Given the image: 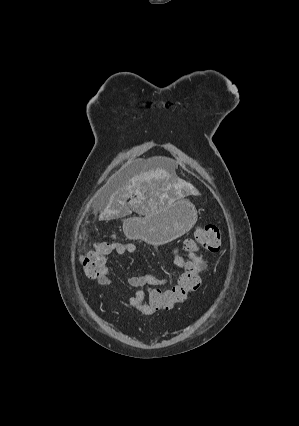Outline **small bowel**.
<instances>
[{"instance_id":"c3829d8e","label":"small bowel","mask_w":299,"mask_h":426,"mask_svg":"<svg viewBox=\"0 0 299 426\" xmlns=\"http://www.w3.org/2000/svg\"><path fill=\"white\" fill-rule=\"evenodd\" d=\"M136 246L133 243H112L109 248V254L115 253L118 255H125L129 253H135ZM190 260L193 261L200 270L206 268L205 260L196 254H189ZM174 262L179 268H184L186 265L185 260L178 254V251H174ZM108 266L105 263L96 281L99 285L110 286L113 284L112 279L108 275ZM128 284L135 289L134 294L129 295L126 299L121 300V304L127 308L134 309L144 313L145 315H152L158 310L154 309L146 299L145 288L149 286H166L169 282L168 278L157 277L153 274L145 273L142 275H132L127 279Z\"/></svg>"}]
</instances>
